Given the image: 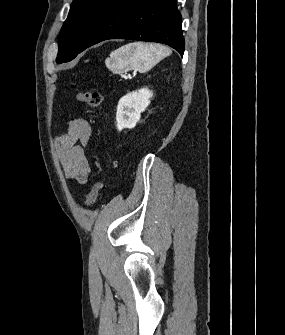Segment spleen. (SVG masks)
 I'll return each mask as SVG.
<instances>
[{"label":"spleen","mask_w":285,"mask_h":335,"mask_svg":"<svg viewBox=\"0 0 285 335\" xmlns=\"http://www.w3.org/2000/svg\"><path fill=\"white\" fill-rule=\"evenodd\" d=\"M170 54L171 50L166 46L134 42V44H127L112 52L111 58H114V70H118L120 66L125 68V62L128 60L131 66H136L137 70H150L152 66Z\"/></svg>","instance_id":"obj_1"}]
</instances>
